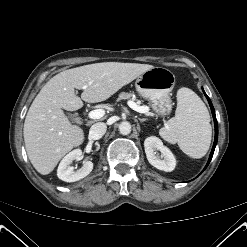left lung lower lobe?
I'll return each instance as SVG.
<instances>
[{
	"instance_id": "0a47b994",
	"label": "left lung lower lobe",
	"mask_w": 247,
	"mask_h": 247,
	"mask_svg": "<svg viewBox=\"0 0 247 247\" xmlns=\"http://www.w3.org/2000/svg\"><path fill=\"white\" fill-rule=\"evenodd\" d=\"M205 94V92H204ZM209 104H210V108H211V111H212V115H213V118H214V124H215V140H214V144H213V147H212V150H211V153H210V157H209V160H208V163L206 165V167L208 166V164L210 163L211 159H212V156H213V153H214V150H215V147H216V144H217V139H218V124H217V120H216V116H215V111H214V107L211 103V100L209 99V97L205 94ZM205 167V169H206Z\"/></svg>"
}]
</instances>
